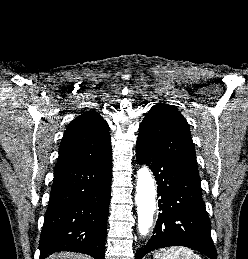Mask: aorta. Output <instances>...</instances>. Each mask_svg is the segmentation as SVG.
I'll use <instances>...</instances> for the list:
<instances>
[{
    "instance_id": "aorta-1",
    "label": "aorta",
    "mask_w": 248,
    "mask_h": 259,
    "mask_svg": "<svg viewBox=\"0 0 248 259\" xmlns=\"http://www.w3.org/2000/svg\"><path fill=\"white\" fill-rule=\"evenodd\" d=\"M137 174L138 230L141 236H146L154 221L157 208V191L148 167H141Z\"/></svg>"
}]
</instances>
